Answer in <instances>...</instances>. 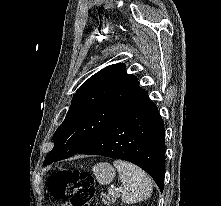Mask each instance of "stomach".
I'll use <instances>...</instances> for the list:
<instances>
[{"mask_svg": "<svg viewBox=\"0 0 221 206\" xmlns=\"http://www.w3.org/2000/svg\"><path fill=\"white\" fill-rule=\"evenodd\" d=\"M93 174L100 184L105 185L113 181L115 170L108 163H98L93 167Z\"/></svg>", "mask_w": 221, "mask_h": 206, "instance_id": "stomach-1", "label": "stomach"}]
</instances>
